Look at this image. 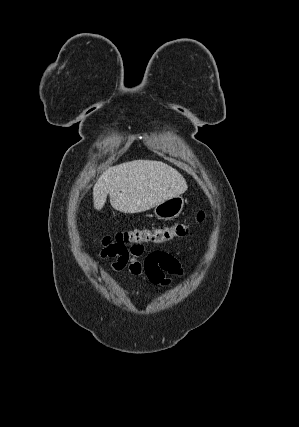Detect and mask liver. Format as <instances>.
Segmentation results:
<instances>
[{
  "label": "liver",
  "instance_id": "1",
  "mask_svg": "<svg viewBox=\"0 0 299 427\" xmlns=\"http://www.w3.org/2000/svg\"><path fill=\"white\" fill-rule=\"evenodd\" d=\"M188 186L171 166L152 160H134L108 168L93 188L94 208L101 210L110 195L112 207L139 213L183 194Z\"/></svg>",
  "mask_w": 299,
  "mask_h": 427
}]
</instances>
